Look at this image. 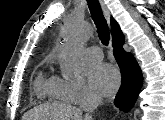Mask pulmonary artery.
Segmentation results:
<instances>
[{
  "mask_svg": "<svg viewBox=\"0 0 165 120\" xmlns=\"http://www.w3.org/2000/svg\"><path fill=\"white\" fill-rule=\"evenodd\" d=\"M86 56L90 61H99L103 58V53L98 46H91L86 49Z\"/></svg>",
  "mask_w": 165,
  "mask_h": 120,
  "instance_id": "obj_1",
  "label": "pulmonary artery"
}]
</instances>
